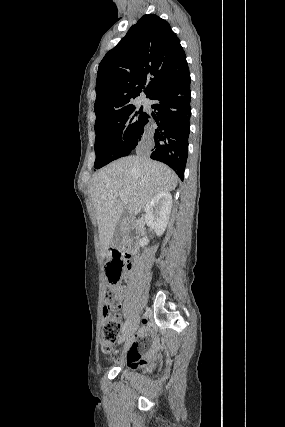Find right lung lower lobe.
Returning a JSON list of instances; mask_svg holds the SVG:
<instances>
[{"instance_id":"right-lung-lower-lobe-1","label":"right lung lower lobe","mask_w":285,"mask_h":427,"mask_svg":"<svg viewBox=\"0 0 285 427\" xmlns=\"http://www.w3.org/2000/svg\"><path fill=\"white\" fill-rule=\"evenodd\" d=\"M190 73L187 71L179 80L166 86L150 97L158 103L152 105L157 110L153 116L158 127L153 132V144L149 150L150 158L169 165L181 180L188 157V138L190 133L191 90ZM150 116L147 114L143 132L148 134Z\"/></svg>"}]
</instances>
